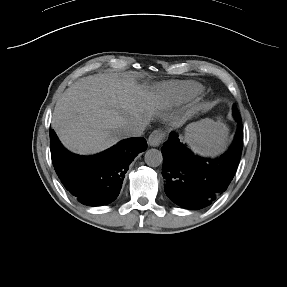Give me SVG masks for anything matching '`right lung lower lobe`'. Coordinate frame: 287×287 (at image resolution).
Listing matches in <instances>:
<instances>
[{
  "label": "right lung lower lobe",
  "instance_id": "obj_1",
  "mask_svg": "<svg viewBox=\"0 0 287 287\" xmlns=\"http://www.w3.org/2000/svg\"><path fill=\"white\" fill-rule=\"evenodd\" d=\"M50 149L55 171L65 188L82 204L100 206L117 198L129 164L147 149V143L142 137L129 138L103 153L79 156L68 152L50 130Z\"/></svg>",
  "mask_w": 287,
  "mask_h": 287
}]
</instances>
